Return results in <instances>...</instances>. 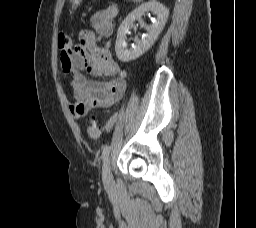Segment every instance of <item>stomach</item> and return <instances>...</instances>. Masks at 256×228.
Masks as SVG:
<instances>
[{
    "instance_id": "stomach-1",
    "label": "stomach",
    "mask_w": 256,
    "mask_h": 228,
    "mask_svg": "<svg viewBox=\"0 0 256 228\" xmlns=\"http://www.w3.org/2000/svg\"><path fill=\"white\" fill-rule=\"evenodd\" d=\"M70 1L72 3V7H77L82 2V0H70Z\"/></svg>"
}]
</instances>
